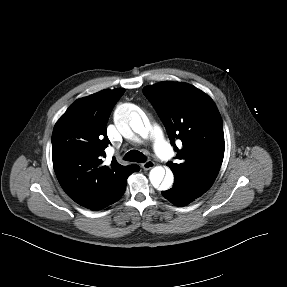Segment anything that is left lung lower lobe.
<instances>
[{
	"mask_svg": "<svg viewBox=\"0 0 287 287\" xmlns=\"http://www.w3.org/2000/svg\"><path fill=\"white\" fill-rule=\"evenodd\" d=\"M202 194L180 178H175L171 189L162 191V195L177 206H186Z\"/></svg>",
	"mask_w": 287,
	"mask_h": 287,
	"instance_id": "1",
	"label": "left lung lower lobe"
}]
</instances>
